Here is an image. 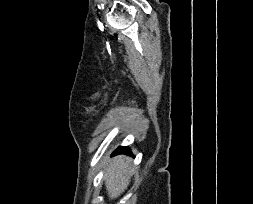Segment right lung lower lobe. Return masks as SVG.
I'll list each match as a JSON object with an SVG mask.
<instances>
[{
    "label": "right lung lower lobe",
    "mask_w": 253,
    "mask_h": 204,
    "mask_svg": "<svg viewBox=\"0 0 253 204\" xmlns=\"http://www.w3.org/2000/svg\"><path fill=\"white\" fill-rule=\"evenodd\" d=\"M120 153H126L129 154L130 153V149L128 147H119L114 151V155L115 154H120Z\"/></svg>",
    "instance_id": "obj_1"
}]
</instances>
